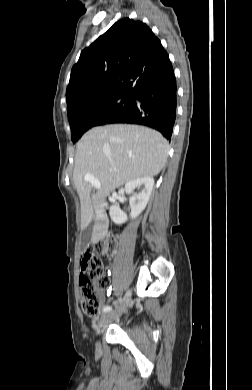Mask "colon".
I'll return each mask as SVG.
<instances>
[{
  "instance_id": "obj_1",
  "label": "colon",
  "mask_w": 252,
  "mask_h": 390,
  "mask_svg": "<svg viewBox=\"0 0 252 390\" xmlns=\"http://www.w3.org/2000/svg\"><path fill=\"white\" fill-rule=\"evenodd\" d=\"M116 245V237L113 234H109L89 246L82 255L79 284L82 293V309L89 317L96 318L101 314V289L106 284L102 258L112 256Z\"/></svg>"
}]
</instances>
